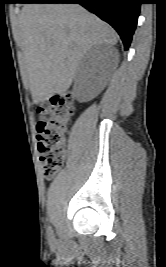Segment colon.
I'll return each instance as SVG.
<instances>
[{"instance_id": "1", "label": "colon", "mask_w": 166, "mask_h": 267, "mask_svg": "<svg viewBox=\"0 0 166 267\" xmlns=\"http://www.w3.org/2000/svg\"><path fill=\"white\" fill-rule=\"evenodd\" d=\"M74 113L71 94L54 96L49 104L38 107V148L47 179L53 178L64 163L67 128Z\"/></svg>"}]
</instances>
